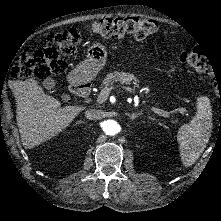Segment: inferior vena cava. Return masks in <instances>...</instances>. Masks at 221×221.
Masks as SVG:
<instances>
[{
    "label": "inferior vena cava",
    "mask_w": 221,
    "mask_h": 221,
    "mask_svg": "<svg viewBox=\"0 0 221 221\" xmlns=\"http://www.w3.org/2000/svg\"><path fill=\"white\" fill-rule=\"evenodd\" d=\"M84 115L89 120H100L104 117V111L99 109H88L84 112Z\"/></svg>",
    "instance_id": "602c4592"
}]
</instances>
